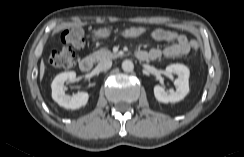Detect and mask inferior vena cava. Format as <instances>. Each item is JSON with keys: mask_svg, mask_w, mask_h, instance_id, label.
I'll return each mask as SVG.
<instances>
[{"mask_svg": "<svg viewBox=\"0 0 244 157\" xmlns=\"http://www.w3.org/2000/svg\"><path fill=\"white\" fill-rule=\"evenodd\" d=\"M111 66H112V61L109 59H106V60L100 61L96 68L99 71H106V70L110 69Z\"/></svg>", "mask_w": 244, "mask_h": 157, "instance_id": "inferior-vena-cava-1", "label": "inferior vena cava"}]
</instances>
